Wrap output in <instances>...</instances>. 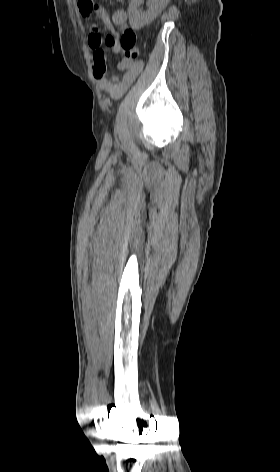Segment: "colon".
Listing matches in <instances>:
<instances>
[{
  "label": "colon",
  "mask_w": 280,
  "mask_h": 472,
  "mask_svg": "<svg viewBox=\"0 0 280 472\" xmlns=\"http://www.w3.org/2000/svg\"><path fill=\"white\" fill-rule=\"evenodd\" d=\"M87 7L92 9L93 1L89 0ZM120 48L126 58H136L138 55V49L136 44V34L131 29L124 30L121 38L119 39Z\"/></svg>",
  "instance_id": "obj_1"
}]
</instances>
